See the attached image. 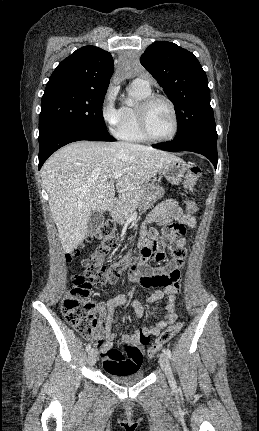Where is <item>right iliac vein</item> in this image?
I'll return each instance as SVG.
<instances>
[{"instance_id":"obj_1","label":"right iliac vein","mask_w":259,"mask_h":431,"mask_svg":"<svg viewBox=\"0 0 259 431\" xmlns=\"http://www.w3.org/2000/svg\"><path fill=\"white\" fill-rule=\"evenodd\" d=\"M97 361V352L94 349H91L88 353V363L90 366L95 365Z\"/></svg>"}]
</instances>
